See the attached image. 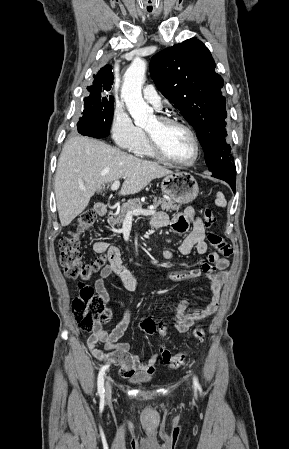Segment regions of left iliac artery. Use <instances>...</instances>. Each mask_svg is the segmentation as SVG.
<instances>
[{"mask_svg": "<svg viewBox=\"0 0 289 449\" xmlns=\"http://www.w3.org/2000/svg\"><path fill=\"white\" fill-rule=\"evenodd\" d=\"M193 385L196 390L200 389V385L196 376L193 377Z\"/></svg>", "mask_w": 289, "mask_h": 449, "instance_id": "1", "label": "left iliac artery"}]
</instances>
